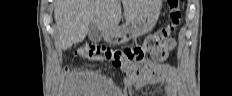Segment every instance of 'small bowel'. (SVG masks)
Returning <instances> with one entry per match:
<instances>
[{
    "label": "small bowel",
    "instance_id": "1",
    "mask_svg": "<svg viewBox=\"0 0 232 96\" xmlns=\"http://www.w3.org/2000/svg\"><path fill=\"white\" fill-rule=\"evenodd\" d=\"M175 47V42L169 40L165 48L169 51ZM151 51V50H150ZM130 88V95L135 96L145 87L159 85L164 88L167 95L176 96L179 92L177 72L170 66H160L156 73H142L138 76H130L125 80Z\"/></svg>",
    "mask_w": 232,
    "mask_h": 96
}]
</instances>
